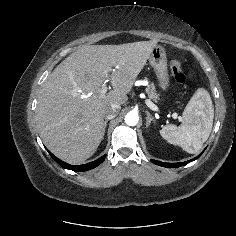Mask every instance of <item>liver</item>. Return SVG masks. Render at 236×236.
Returning <instances> with one entry per match:
<instances>
[{"mask_svg":"<svg viewBox=\"0 0 236 236\" xmlns=\"http://www.w3.org/2000/svg\"><path fill=\"white\" fill-rule=\"evenodd\" d=\"M156 40L120 45H83L49 75L38 98L36 120L45 146L60 159L79 164L97 150L104 110L122 105ZM111 80L113 90L101 95Z\"/></svg>","mask_w":236,"mask_h":236,"instance_id":"obj_1","label":"liver"}]
</instances>
